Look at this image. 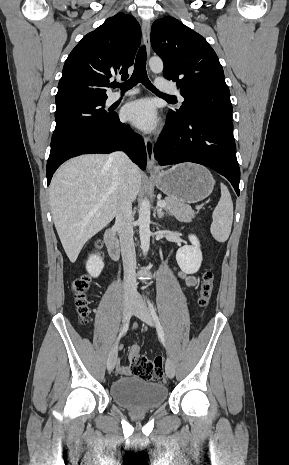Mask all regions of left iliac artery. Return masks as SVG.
Segmentation results:
<instances>
[{
	"instance_id": "obj_1",
	"label": "left iliac artery",
	"mask_w": 289,
	"mask_h": 465,
	"mask_svg": "<svg viewBox=\"0 0 289 465\" xmlns=\"http://www.w3.org/2000/svg\"><path fill=\"white\" fill-rule=\"evenodd\" d=\"M148 305H149V309H150V311L152 313V316H153L155 324H156L158 336H159L161 342L163 343V345L165 346L164 332H163L162 326L160 324L159 318L157 316L156 310H155L153 304L149 300H148Z\"/></svg>"
}]
</instances>
